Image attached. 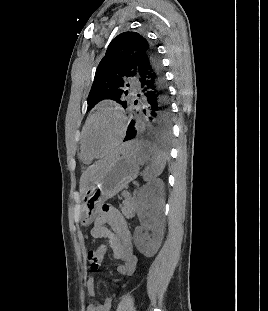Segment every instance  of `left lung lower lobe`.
Listing matches in <instances>:
<instances>
[{
	"label": "left lung lower lobe",
	"instance_id": "1",
	"mask_svg": "<svg viewBox=\"0 0 268 311\" xmlns=\"http://www.w3.org/2000/svg\"><path fill=\"white\" fill-rule=\"evenodd\" d=\"M137 78L141 93L135 104L139 102L141 109L130 120L124 141H169L172 119L169 94L160 58L152 48L149 59L140 63Z\"/></svg>",
	"mask_w": 268,
	"mask_h": 311
}]
</instances>
